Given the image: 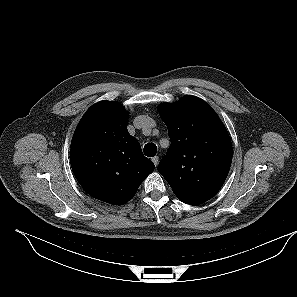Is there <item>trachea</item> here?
Listing matches in <instances>:
<instances>
[{
  "instance_id": "obj_1",
  "label": "trachea",
  "mask_w": 297,
  "mask_h": 297,
  "mask_svg": "<svg viewBox=\"0 0 297 297\" xmlns=\"http://www.w3.org/2000/svg\"><path fill=\"white\" fill-rule=\"evenodd\" d=\"M157 147L154 143H147L144 146V154L148 157H153L156 155Z\"/></svg>"
}]
</instances>
